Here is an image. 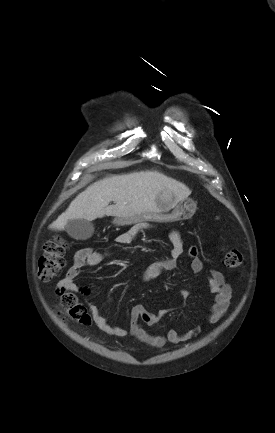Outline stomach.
Wrapping results in <instances>:
<instances>
[{
	"instance_id": "0dacf381",
	"label": "stomach",
	"mask_w": 275,
	"mask_h": 433,
	"mask_svg": "<svg viewBox=\"0 0 275 433\" xmlns=\"http://www.w3.org/2000/svg\"><path fill=\"white\" fill-rule=\"evenodd\" d=\"M156 211L143 213L131 217H117L113 223L118 226L129 225L136 222H175L190 219L196 211V203L190 199L178 201L174 194H160L157 198Z\"/></svg>"
}]
</instances>
